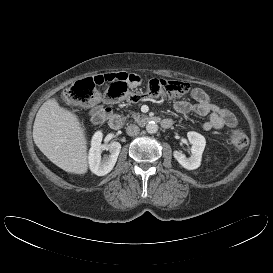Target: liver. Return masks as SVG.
<instances>
[{"mask_svg":"<svg viewBox=\"0 0 273 273\" xmlns=\"http://www.w3.org/2000/svg\"><path fill=\"white\" fill-rule=\"evenodd\" d=\"M33 139L40 151L69 173L88 171L87 139L78 116L61 107L56 98L40 107L33 126Z\"/></svg>","mask_w":273,"mask_h":273,"instance_id":"6515ba94","label":"liver"}]
</instances>
